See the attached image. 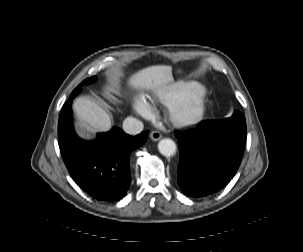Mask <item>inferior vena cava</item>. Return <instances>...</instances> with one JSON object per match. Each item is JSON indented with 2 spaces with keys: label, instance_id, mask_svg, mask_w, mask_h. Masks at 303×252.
<instances>
[{
  "label": "inferior vena cava",
  "instance_id": "inferior-vena-cava-1",
  "mask_svg": "<svg viewBox=\"0 0 303 252\" xmlns=\"http://www.w3.org/2000/svg\"><path fill=\"white\" fill-rule=\"evenodd\" d=\"M123 130L130 135H137L143 130V123L133 117H127L123 121Z\"/></svg>",
  "mask_w": 303,
  "mask_h": 252
}]
</instances>
